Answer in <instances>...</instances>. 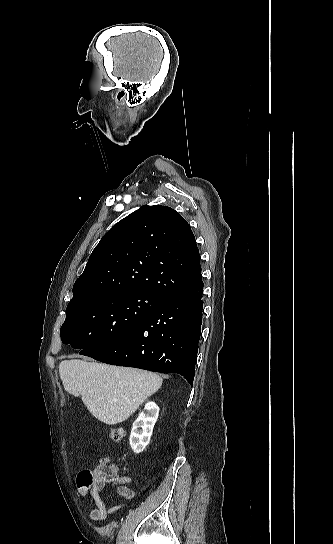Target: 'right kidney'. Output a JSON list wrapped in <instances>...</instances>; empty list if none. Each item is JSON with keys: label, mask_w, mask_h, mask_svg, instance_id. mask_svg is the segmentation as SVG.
I'll return each mask as SVG.
<instances>
[{"label": "right kidney", "mask_w": 333, "mask_h": 544, "mask_svg": "<svg viewBox=\"0 0 333 544\" xmlns=\"http://www.w3.org/2000/svg\"><path fill=\"white\" fill-rule=\"evenodd\" d=\"M158 415L159 407L151 401L145 404L144 411L134 421L129 443L135 454L141 453L149 444Z\"/></svg>", "instance_id": "1"}]
</instances>
